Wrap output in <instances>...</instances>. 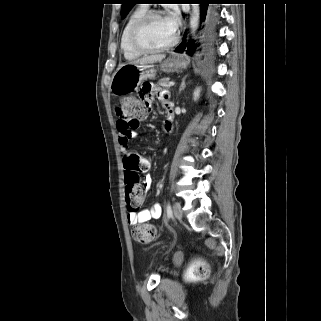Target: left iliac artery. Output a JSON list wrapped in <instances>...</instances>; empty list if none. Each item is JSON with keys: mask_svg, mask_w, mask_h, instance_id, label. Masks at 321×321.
<instances>
[{"mask_svg": "<svg viewBox=\"0 0 321 321\" xmlns=\"http://www.w3.org/2000/svg\"><path fill=\"white\" fill-rule=\"evenodd\" d=\"M166 211H167V217L170 218L172 216V210H171V206L169 203L167 204Z\"/></svg>", "mask_w": 321, "mask_h": 321, "instance_id": "left-iliac-artery-1", "label": "left iliac artery"}]
</instances>
